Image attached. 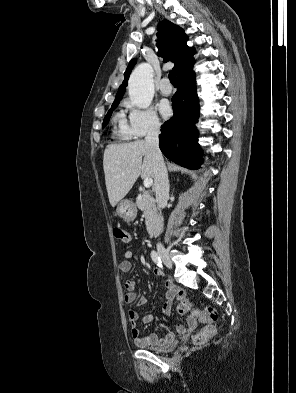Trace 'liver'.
<instances>
[{
  "mask_svg": "<svg viewBox=\"0 0 296 393\" xmlns=\"http://www.w3.org/2000/svg\"><path fill=\"white\" fill-rule=\"evenodd\" d=\"M103 168L109 202L112 207L122 200L139 176L154 177V161L144 140L111 144L104 151Z\"/></svg>",
  "mask_w": 296,
  "mask_h": 393,
  "instance_id": "6515ba94",
  "label": "liver"
}]
</instances>
